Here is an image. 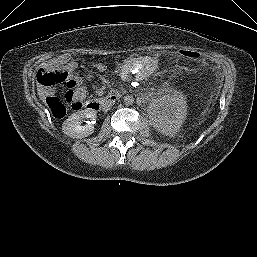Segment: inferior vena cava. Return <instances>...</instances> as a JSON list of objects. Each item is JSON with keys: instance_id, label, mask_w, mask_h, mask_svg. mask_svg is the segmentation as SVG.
<instances>
[{"instance_id": "602c4592", "label": "inferior vena cava", "mask_w": 257, "mask_h": 257, "mask_svg": "<svg viewBox=\"0 0 257 257\" xmlns=\"http://www.w3.org/2000/svg\"><path fill=\"white\" fill-rule=\"evenodd\" d=\"M113 102L112 101H106L103 103V110L107 111L109 110L112 106H113Z\"/></svg>"}]
</instances>
